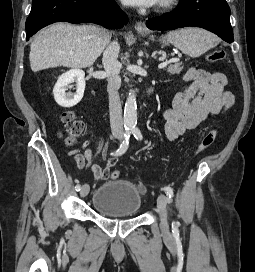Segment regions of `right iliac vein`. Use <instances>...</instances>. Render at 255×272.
Returning a JSON list of instances; mask_svg holds the SVG:
<instances>
[{
  "label": "right iliac vein",
  "instance_id": "obj_1",
  "mask_svg": "<svg viewBox=\"0 0 255 272\" xmlns=\"http://www.w3.org/2000/svg\"><path fill=\"white\" fill-rule=\"evenodd\" d=\"M89 185L88 184H84L82 187H81V190H80V196L81 197H85L88 195L89 193Z\"/></svg>",
  "mask_w": 255,
  "mask_h": 272
}]
</instances>
